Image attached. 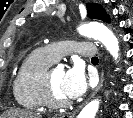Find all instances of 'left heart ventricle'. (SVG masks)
Listing matches in <instances>:
<instances>
[{
    "label": "left heart ventricle",
    "mask_w": 133,
    "mask_h": 118,
    "mask_svg": "<svg viewBox=\"0 0 133 118\" xmlns=\"http://www.w3.org/2000/svg\"><path fill=\"white\" fill-rule=\"evenodd\" d=\"M62 69L53 68L50 73L53 96L58 100H68L62 91V80L64 76Z\"/></svg>",
    "instance_id": "b2bd125f"
}]
</instances>
